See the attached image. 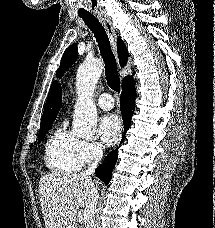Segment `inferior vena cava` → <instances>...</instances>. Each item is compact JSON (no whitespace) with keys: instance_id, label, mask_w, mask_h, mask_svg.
Instances as JSON below:
<instances>
[{"instance_id":"1","label":"inferior vena cava","mask_w":215,"mask_h":228,"mask_svg":"<svg viewBox=\"0 0 215 228\" xmlns=\"http://www.w3.org/2000/svg\"><path fill=\"white\" fill-rule=\"evenodd\" d=\"M102 156H103L102 150H96V152L94 154V160H93L90 168H88V170H86V172H83L82 176H92V174H94ZM98 200H99L98 184H94V186L91 190V204L89 206L91 216L89 218V222H87V228H97V224H95V212L97 210Z\"/></svg>"}]
</instances>
